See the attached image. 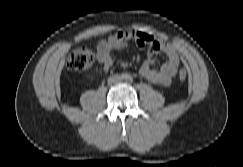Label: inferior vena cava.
<instances>
[{
  "instance_id": "1",
  "label": "inferior vena cava",
  "mask_w": 243,
  "mask_h": 167,
  "mask_svg": "<svg viewBox=\"0 0 243 167\" xmlns=\"http://www.w3.org/2000/svg\"><path fill=\"white\" fill-rule=\"evenodd\" d=\"M120 81V77H112L109 78L108 83L112 84V83H118Z\"/></svg>"
}]
</instances>
